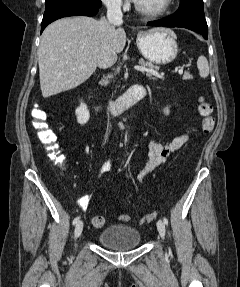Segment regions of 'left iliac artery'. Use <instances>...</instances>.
Returning <instances> with one entry per match:
<instances>
[{"mask_svg": "<svg viewBox=\"0 0 240 287\" xmlns=\"http://www.w3.org/2000/svg\"><path fill=\"white\" fill-rule=\"evenodd\" d=\"M163 221H164V224L168 225V219L167 218H164Z\"/></svg>", "mask_w": 240, "mask_h": 287, "instance_id": "left-iliac-artery-1", "label": "left iliac artery"}]
</instances>
